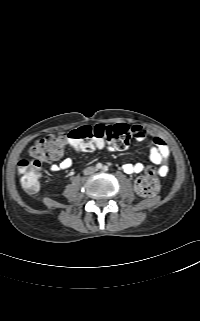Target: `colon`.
<instances>
[{
  "instance_id": "obj_1",
  "label": "colon",
  "mask_w": 200,
  "mask_h": 321,
  "mask_svg": "<svg viewBox=\"0 0 200 321\" xmlns=\"http://www.w3.org/2000/svg\"><path fill=\"white\" fill-rule=\"evenodd\" d=\"M133 137L126 125L81 126L67 134H49L38 139L29 151V157L18 162L21 185L28 193H35L40 187V168L43 163L58 156L66 143L82 151H92L111 143L116 149L123 150ZM135 191L141 197L155 196L160 190V181L156 170L149 168L135 180Z\"/></svg>"
}]
</instances>
